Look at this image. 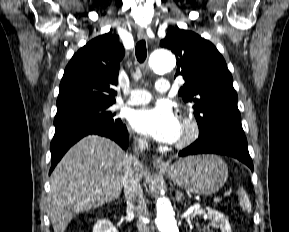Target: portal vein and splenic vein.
<instances>
[{
  "mask_svg": "<svg viewBox=\"0 0 289 232\" xmlns=\"http://www.w3.org/2000/svg\"><path fill=\"white\" fill-rule=\"evenodd\" d=\"M213 201H214L215 203H219V202L222 201V197H216V198L213 199Z\"/></svg>",
  "mask_w": 289,
  "mask_h": 232,
  "instance_id": "1",
  "label": "portal vein and splenic vein"
}]
</instances>
